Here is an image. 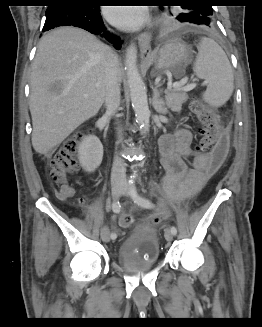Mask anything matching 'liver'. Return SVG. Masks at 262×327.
<instances>
[{
  "instance_id": "6515ba94",
  "label": "liver",
  "mask_w": 262,
  "mask_h": 327,
  "mask_svg": "<svg viewBox=\"0 0 262 327\" xmlns=\"http://www.w3.org/2000/svg\"><path fill=\"white\" fill-rule=\"evenodd\" d=\"M113 56L109 46L82 29L61 27L43 37L30 80L32 145L37 153L47 155L98 113ZM118 75L121 78L119 66Z\"/></svg>"
}]
</instances>
